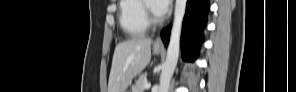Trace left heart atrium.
I'll return each mask as SVG.
<instances>
[{
  "label": "left heart atrium",
  "mask_w": 296,
  "mask_h": 92,
  "mask_svg": "<svg viewBox=\"0 0 296 92\" xmlns=\"http://www.w3.org/2000/svg\"><path fill=\"white\" fill-rule=\"evenodd\" d=\"M170 3H171V1H169V0L154 1L153 5H152L154 13L157 16L164 15L168 11Z\"/></svg>",
  "instance_id": "39dd6f15"
}]
</instances>
